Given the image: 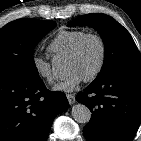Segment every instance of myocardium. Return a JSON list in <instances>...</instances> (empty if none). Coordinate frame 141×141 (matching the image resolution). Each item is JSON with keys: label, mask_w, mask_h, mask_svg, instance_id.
I'll return each instance as SVG.
<instances>
[{"label": "myocardium", "mask_w": 141, "mask_h": 141, "mask_svg": "<svg viewBox=\"0 0 141 141\" xmlns=\"http://www.w3.org/2000/svg\"><path fill=\"white\" fill-rule=\"evenodd\" d=\"M90 39H94L98 42L101 53H100V60H99V64L97 68L95 69V71L92 74L84 78L85 82L94 81L96 78L100 76V74L102 73L105 67L106 58H107V48H106V44L103 38L100 35L95 34V33H87L76 43L72 51L67 56V58H71V59L78 57L84 45Z\"/></svg>", "instance_id": "obj_1"}]
</instances>
